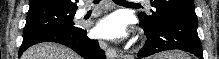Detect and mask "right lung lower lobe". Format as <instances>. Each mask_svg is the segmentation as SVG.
Listing matches in <instances>:
<instances>
[{
    "mask_svg": "<svg viewBox=\"0 0 219 59\" xmlns=\"http://www.w3.org/2000/svg\"><path fill=\"white\" fill-rule=\"evenodd\" d=\"M86 30H47L23 37L19 56L30 46L41 42H56L65 45L85 59H105L104 51L99 47L97 40H90Z\"/></svg>",
    "mask_w": 219,
    "mask_h": 59,
    "instance_id": "right-lung-lower-lobe-1",
    "label": "right lung lower lobe"
}]
</instances>
